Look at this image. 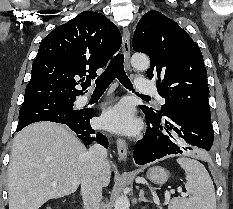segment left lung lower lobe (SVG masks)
Listing matches in <instances>:
<instances>
[{"label": "left lung lower lobe", "mask_w": 233, "mask_h": 209, "mask_svg": "<svg viewBox=\"0 0 233 209\" xmlns=\"http://www.w3.org/2000/svg\"><path fill=\"white\" fill-rule=\"evenodd\" d=\"M144 113L148 129L145 137L134 147L133 157L137 164L144 165L166 155L180 154L193 148L207 151L211 149L214 131L210 122L186 113L168 115L166 119Z\"/></svg>", "instance_id": "0a47b994"}]
</instances>
